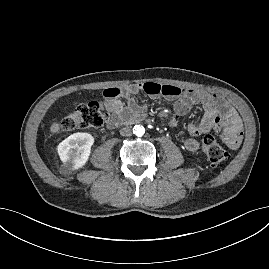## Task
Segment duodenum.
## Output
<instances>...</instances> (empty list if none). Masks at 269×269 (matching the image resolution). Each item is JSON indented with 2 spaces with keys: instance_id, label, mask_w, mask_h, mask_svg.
Segmentation results:
<instances>
[{
  "instance_id": "obj_1",
  "label": "duodenum",
  "mask_w": 269,
  "mask_h": 269,
  "mask_svg": "<svg viewBox=\"0 0 269 269\" xmlns=\"http://www.w3.org/2000/svg\"><path fill=\"white\" fill-rule=\"evenodd\" d=\"M139 121H140V119H134L132 121H129V123H136V122H139Z\"/></svg>"
}]
</instances>
